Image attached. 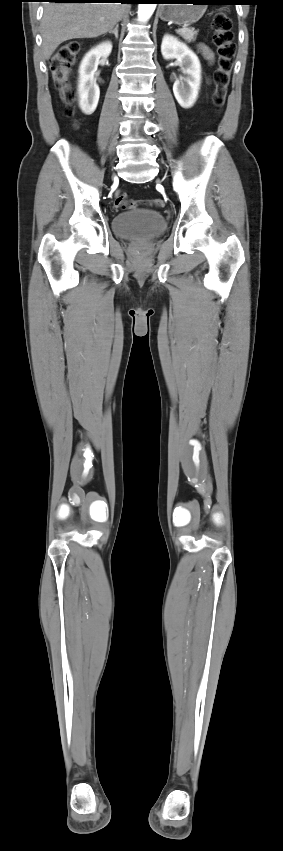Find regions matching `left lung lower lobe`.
I'll return each mask as SVG.
<instances>
[{
	"mask_svg": "<svg viewBox=\"0 0 283 851\" xmlns=\"http://www.w3.org/2000/svg\"><path fill=\"white\" fill-rule=\"evenodd\" d=\"M143 1H148V2H151V3L162 4V3H166V2H167V1H169V0H143ZM215 1L220 2V3H224V4H231V5H233L235 2H238L239 0H215Z\"/></svg>",
	"mask_w": 283,
	"mask_h": 851,
	"instance_id": "obj_1",
	"label": "left lung lower lobe"
}]
</instances>
